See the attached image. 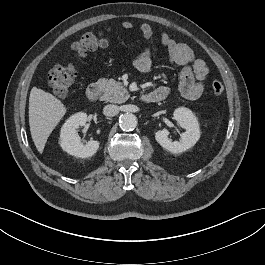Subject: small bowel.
<instances>
[{
  "label": "small bowel",
  "instance_id": "obj_1",
  "mask_svg": "<svg viewBox=\"0 0 265 265\" xmlns=\"http://www.w3.org/2000/svg\"><path fill=\"white\" fill-rule=\"evenodd\" d=\"M122 27L125 30H130L133 24L125 21L122 23ZM140 31L147 42L152 39L154 32L149 24H142ZM160 40L167 49L168 63L182 67L180 74V91L182 95L191 100L199 98L203 93L204 82L209 74L207 64L202 59L195 58L192 50L186 44L175 41L167 32L160 34ZM152 64L151 52L148 47L134 58L135 68L142 73L149 72ZM155 91H161L165 95L168 94V88L165 86H161Z\"/></svg>",
  "mask_w": 265,
  "mask_h": 265
}]
</instances>
